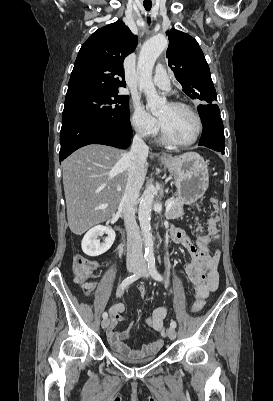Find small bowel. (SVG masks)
I'll use <instances>...</instances> for the list:
<instances>
[{
    "mask_svg": "<svg viewBox=\"0 0 273 401\" xmlns=\"http://www.w3.org/2000/svg\"><path fill=\"white\" fill-rule=\"evenodd\" d=\"M219 222V217L217 215H211L209 217V222H207L206 227L208 231L200 235L196 242L193 243L190 238L184 233V231L180 228H175L171 231V235L178 239L179 242L187 248L192 256L191 262L186 266L185 273L187 275L188 271H204L205 275L208 276L207 284H193L194 291V304L192 310L194 312L199 311L203 308L206 301L210 298V296L217 290L218 282H219V274L217 271L219 256L220 253L216 250L213 253H210L209 244L216 239V231L214 230L215 224ZM93 261V260H89ZM77 283H81L83 289H87V284L91 282H87V280H76ZM93 284V283H91ZM94 286V284H93ZM94 289V287H93ZM139 294V293H138ZM92 299H96L98 304H107L109 298L107 295H104L103 290H92L91 292ZM91 297H86V302H91ZM125 305L123 303H116L111 306L107 310V314L110 318L108 328H107V337L111 347L119 354L123 356H150L155 354L159 348L161 347L163 340L167 339L166 333L160 334V339L148 343L139 351L130 350L124 343L122 339L126 336V331H118V324L126 319L124 315ZM167 316V307L160 306L156 308L152 315L147 318V326L160 333L164 329V321Z\"/></svg>",
    "mask_w": 273,
    "mask_h": 401,
    "instance_id": "small-bowel-1",
    "label": "small bowel"
}]
</instances>
